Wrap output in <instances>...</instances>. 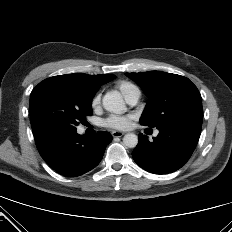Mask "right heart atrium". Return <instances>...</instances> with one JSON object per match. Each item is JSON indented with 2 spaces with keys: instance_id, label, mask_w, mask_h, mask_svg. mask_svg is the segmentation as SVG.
<instances>
[{
  "instance_id": "d8ad5b80",
  "label": "right heart atrium",
  "mask_w": 232,
  "mask_h": 232,
  "mask_svg": "<svg viewBox=\"0 0 232 232\" xmlns=\"http://www.w3.org/2000/svg\"><path fill=\"white\" fill-rule=\"evenodd\" d=\"M100 103V95L96 94L91 100V107L95 109Z\"/></svg>"
}]
</instances>
